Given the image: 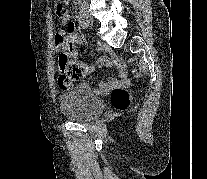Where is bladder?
<instances>
[{
	"mask_svg": "<svg viewBox=\"0 0 207 179\" xmlns=\"http://www.w3.org/2000/svg\"><path fill=\"white\" fill-rule=\"evenodd\" d=\"M63 115L72 121H89L102 114L104 105L100 97L93 93L88 83H80L72 90L58 97Z\"/></svg>",
	"mask_w": 207,
	"mask_h": 179,
	"instance_id": "bladder-1",
	"label": "bladder"
}]
</instances>
